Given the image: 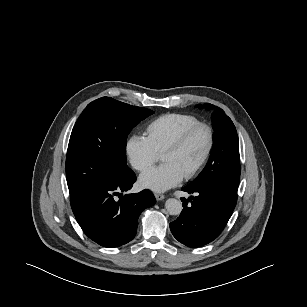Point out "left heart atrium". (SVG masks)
Instances as JSON below:
<instances>
[{"label": "left heart atrium", "instance_id": "1", "mask_svg": "<svg viewBox=\"0 0 307 307\" xmlns=\"http://www.w3.org/2000/svg\"><path fill=\"white\" fill-rule=\"evenodd\" d=\"M183 178L184 174L176 166L163 163L144 172L139 178V183L144 188L163 192L179 184Z\"/></svg>", "mask_w": 307, "mask_h": 307}]
</instances>
